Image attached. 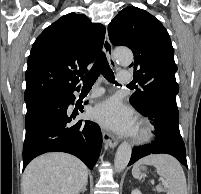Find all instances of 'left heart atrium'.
Segmentation results:
<instances>
[{
  "label": "left heart atrium",
  "mask_w": 201,
  "mask_h": 194,
  "mask_svg": "<svg viewBox=\"0 0 201 194\" xmlns=\"http://www.w3.org/2000/svg\"><path fill=\"white\" fill-rule=\"evenodd\" d=\"M93 117L104 127L121 134H132L136 130L133 113L116 99L97 105Z\"/></svg>",
  "instance_id": "obj_1"
}]
</instances>
